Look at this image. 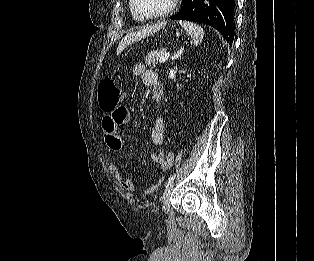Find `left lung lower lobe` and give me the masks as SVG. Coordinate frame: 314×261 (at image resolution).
<instances>
[{"mask_svg": "<svg viewBox=\"0 0 314 261\" xmlns=\"http://www.w3.org/2000/svg\"><path fill=\"white\" fill-rule=\"evenodd\" d=\"M173 20H188L216 28L227 42L234 40L235 0H182Z\"/></svg>", "mask_w": 314, "mask_h": 261, "instance_id": "left-lung-lower-lobe-1", "label": "left lung lower lobe"}]
</instances>
